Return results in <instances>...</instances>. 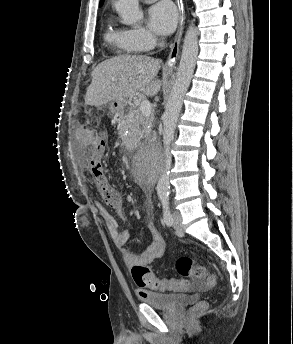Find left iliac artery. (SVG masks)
I'll use <instances>...</instances> for the list:
<instances>
[{
	"label": "left iliac artery",
	"instance_id": "obj_1",
	"mask_svg": "<svg viewBox=\"0 0 293 344\" xmlns=\"http://www.w3.org/2000/svg\"><path fill=\"white\" fill-rule=\"evenodd\" d=\"M160 199H161L162 206H163L164 222L168 226H171L173 223V218H172V214H171L170 206H169V197L168 196H161Z\"/></svg>",
	"mask_w": 293,
	"mask_h": 344
}]
</instances>
